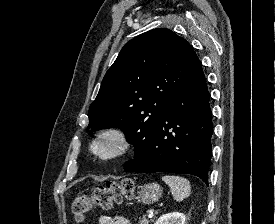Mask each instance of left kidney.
I'll use <instances>...</instances> for the list:
<instances>
[{
	"label": "left kidney",
	"mask_w": 275,
	"mask_h": 224,
	"mask_svg": "<svg viewBox=\"0 0 275 224\" xmlns=\"http://www.w3.org/2000/svg\"><path fill=\"white\" fill-rule=\"evenodd\" d=\"M155 224H185V215L179 212L162 215Z\"/></svg>",
	"instance_id": "left-kidney-1"
}]
</instances>
